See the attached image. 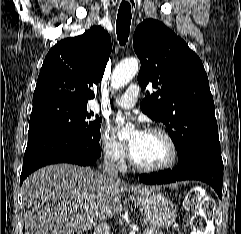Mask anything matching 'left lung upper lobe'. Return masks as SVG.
<instances>
[{"mask_svg":"<svg viewBox=\"0 0 241 234\" xmlns=\"http://www.w3.org/2000/svg\"><path fill=\"white\" fill-rule=\"evenodd\" d=\"M140 59L138 82L157 89L141 110L161 122L172 138L179 162L197 151L220 152L215 106L200 58L162 22L148 19L133 36Z\"/></svg>","mask_w":241,"mask_h":234,"instance_id":"obj_1","label":"left lung upper lobe"}]
</instances>
